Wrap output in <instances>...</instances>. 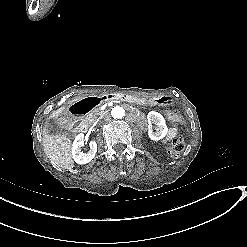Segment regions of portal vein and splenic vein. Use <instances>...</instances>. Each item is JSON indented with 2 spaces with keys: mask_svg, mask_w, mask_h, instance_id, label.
I'll use <instances>...</instances> for the list:
<instances>
[{
  "mask_svg": "<svg viewBox=\"0 0 247 247\" xmlns=\"http://www.w3.org/2000/svg\"><path fill=\"white\" fill-rule=\"evenodd\" d=\"M109 102L120 104V101H116L115 99H107L105 103L102 105V107H100V111H103L105 107L107 106V104H109Z\"/></svg>",
  "mask_w": 247,
  "mask_h": 247,
  "instance_id": "portal-vein-and-splenic-vein-1",
  "label": "portal vein and splenic vein"
}]
</instances>
